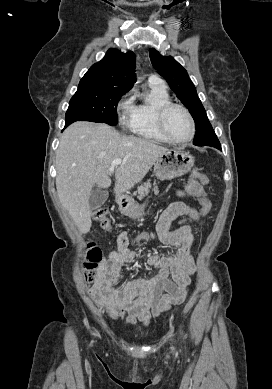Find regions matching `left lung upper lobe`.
<instances>
[{"label":"left lung upper lobe","instance_id":"1","mask_svg":"<svg viewBox=\"0 0 272 389\" xmlns=\"http://www.w3.org/2000/svg\"><path fill=\"white\" fill-rule=\"evenodd\" d=\"M149 56L154 68L164 77L170 88L191 113L196 124L193 144L197 146L206 145L216 137V134L187 71L173 57L162 56L154 48L149 50Z\"/></svg>","mask_w":272,"mask_h":389}]
</instances>
